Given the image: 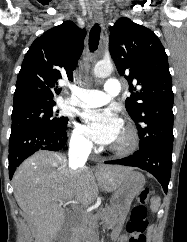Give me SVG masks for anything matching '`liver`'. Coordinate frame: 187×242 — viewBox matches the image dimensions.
<instances>
[{
	"label": "liver",
	"mask_w": 187,
	"mask_h": 242,
	"mask_svg": "<svg viewBox=\"0 0 187 242\" xmlns=\"http://www.w3.org/2000/svg\"><path fill=\"white\" fill-rule=\"evenodd\" d=\"M130 169L99 165L95 172L88 167L74 171L64 155L50 151L26 159L14 174L13 188L19 207L33 225L35 242H53L66 218L61 202L77 201L87 207L99 191L118 190Z\"/></svg>",
	"instance_id": "obj_1"
}]
</instances>
